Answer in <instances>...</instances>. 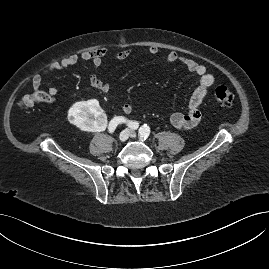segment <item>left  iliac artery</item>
Segmentation results:
<instances>
[{"label": "left iliac artery", "mask_w": 269, "mask_h": 269, "mask_svg": "<svg viewBox=\"0 0 269 269\" xmlns=\"http://www.w3.org/2000/svg\"><path fill=\"white\" fill-rule=\"evenodd\" d=\"M150 134V128L147 126V124H144L143 126L140 127L139 129V136L141 139H147Z\"/></svg>", "instance_id": "1"}]
</instances>
